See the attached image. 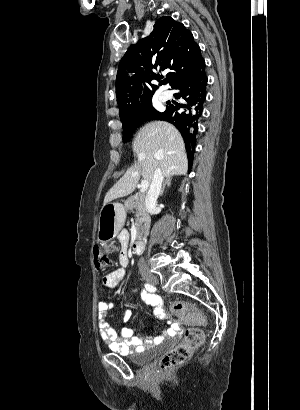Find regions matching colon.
<instances>
[{"instance_id":"1","label":"colon","mask_w":300,"mask_h":410,"mask_svg":"<svg viewBox=\"0 0 300 410\" xmlns=\"http://www.w3.org/2000/svg\"><path fill=\"white\" fill-rule=\"evenodd\" d=\"M95 268L98 271H105L111 266V257L108 249L95 248L93 252ZM172 310L179 315L186 327L189 328L182 343L163 355L159 366L163 370L185 364L191 357L192 352L199 348L204 342V334L195 325H204L205 316L193 304L185 301H176L172 304Z\"/></svg>"}]
</instances>
